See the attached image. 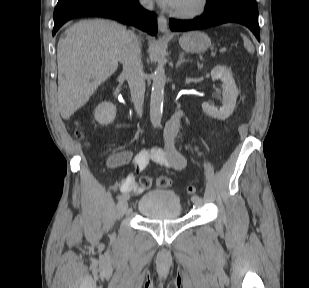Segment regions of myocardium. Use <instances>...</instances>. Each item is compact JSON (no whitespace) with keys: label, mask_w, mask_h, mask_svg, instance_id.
Wrapping results in <instances>:
<instances>
[{"label":"myocardium","mask_w":309,"mask_h":288,"mask_svg":"<svg viewBox=\"0 0 309 288\" xmlns=\"http://www.w3.org/2000/svg\"><path fill=\"white\" fill-rule=\"evenodd\" d=\"M209 0H198L196 7L187 10H172V14L179 18L191 19L204 14L208 8Z\"/></svg>","instance_id":"f54148a6"}]
</instances>
